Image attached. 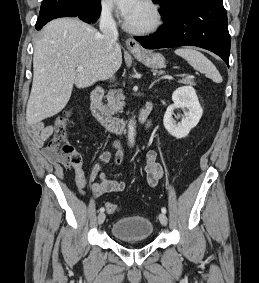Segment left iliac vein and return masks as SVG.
<instances>
[{
    "label": "left iliac vein",
    "mask_w": 259,
    "mask_h": 283,
    "mask_svg": "<svg viewBox=\"0 0 259 283\" xmlns=\"http://www.w3.org/2000/svg\"><path fill=\"white\" fill-rule=\"evenodd\" d=\"M159 221L163 226L167 225V217L164 213L159 214Z\"/></svg>",
    "instance_id": "left-iliac-vein-1"
}]
</instances>
